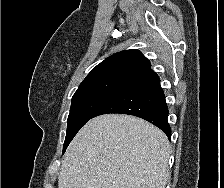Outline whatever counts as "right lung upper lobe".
Segmentation results:
<instances>
[{"label":"right lung upper lobe","mask_w":224,"mask_h":188,"mask_svg":"<svg viewBox=\"0 0 224 188\" xmlns=\"http://www.w3.org/2000/svg\"><path fill=\"white\" fill-rule=\"evenodd\" d=\"M150 67V61L139 50H124L98 64L82 83L106 78L132 80Z\"/></svg>","instance_id":"1"}]
</instances>
